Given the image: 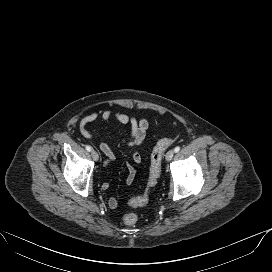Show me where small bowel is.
I'll use <instances>...</instances> for the list:
<instances>
[{
  "label": "small bowel",
  "instance_id": "small-bowel-1",
  "mask_svg": "<svg viewBox=\"0 0 272 272\" xmlns=\"http://www.w3.org/2000/svg\"><path fill=\"white\" fill-rule=\"evenodd\" d=\"M98 118H101L104 123H108L111 118H114L120 124L129 128L127 144L130 148L134 150L132 154V161L134 164H140L142 161V157L141 154L138 152L137 148L146 141L147 130L149 127L148 119L144 116L137 118L134 115L113 109L105 110L102 113L93 111L83 117L79 123V132L82 137L89 140L95 139L93 134L87 129V126L90 123L96 121ZM99 149L105 157V164H109L111 161H113L114 153L106 141L102 140L99 142ZM126 169V183L128 185H131L136 177V169L131 162H126ZM108 187L109 184L107 182H104L102 184V189L106 190L108 189ZM108 204L111 209H115L118 207V200L115 198H111Z\"/></svg>",
  "mask_w": 272,
  "mask_h": 272
}]
</instances>
